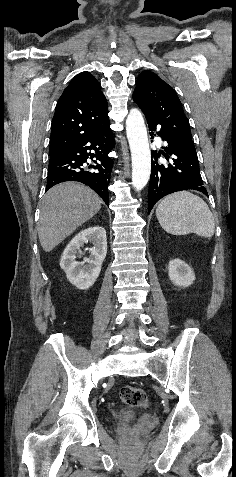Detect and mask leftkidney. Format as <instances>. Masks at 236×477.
<instances>
[{
	"mask_svg": "<svg viewBox=\"0 0 236 477\" xmlns=\"http://www.w3.org/2000/svg\"><path fill=\"white\" fill-rule=\"evenodd\" d=\"M168 274L172 283L179 287H188L195 280L192 268L180 259L169 261Z\"/></svg>",
	"mask_w": 236,
	"mask_h": 477,
	"instance_id": "left-kidney-1",
	"label": "left kidney"
}]
</instances>
